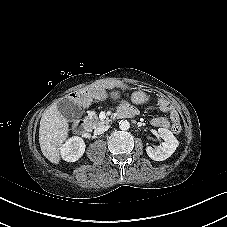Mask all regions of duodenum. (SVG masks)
<instances>
[{
    "label": "duodenum",
    "mask_w": 227,
    "mask_h": 227,
    "mask_svg": "<svg viewBox=\"0 0 227 227\" xmlns=\"http://www.w3.org/2000/svg\"><path fill=\"white\" fill-rule=\"evenodd\" d=\"M133 114L132 113H125L123 111H119L117 118H124V117H131ZM87 128L88 125L85 121L83 120H79L76 125H75V129L76 131L81 135V136H85L87 134Z\"/></svg>",
    "instance_id": "1"
}]
</instances>
